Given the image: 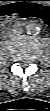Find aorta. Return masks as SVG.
Wrapping results in <instances>:
<instances>
[{
    "mask_svg": "<svg viewBox=\"0 0 50 111\" xmlns=\"http://www.w3.org/2000/svg\"><path fill=\"white\" fill-rule=\"evenodd\" d=\"M39 31H40V27L36 23L29 22L26 25V32L28 34H38Z\"/></svg>",
    "mask_w": 50,
    "mask_h": 111,
    "instance_id": "aorta-1",
    "label": "aorta"
}]
</instances>
